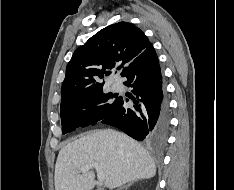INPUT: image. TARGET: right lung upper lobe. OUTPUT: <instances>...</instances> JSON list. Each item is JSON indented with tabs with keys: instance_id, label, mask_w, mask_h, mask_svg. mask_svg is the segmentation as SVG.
Returning <instances> with one entry per match:
<instances>
[{
	"instance_id": "obj_1",
	"label": "right lung upper lobe",
	"mask_w": 234,
	"mask_h": 190,
	"mask_svg": "<svg viewBox=\"0 0 234 190\" xmlns=\"http://www.w3.org/2000/svg\"><path fill=\"white\" fill-rule=\"evenodd\" d=\"M151 45L143 31L128 22L100 30L74 52L68 63L61 103L103 88L100 80L115 68H123L122 76L129 64Z\"/></svg>"
}]
</instances>
